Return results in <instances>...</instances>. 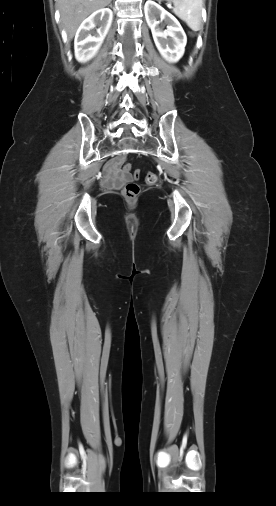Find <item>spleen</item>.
<instances>
[{"instance_id": "1", "label": "spleen", "mask_w": 276, "mask_h": 506, "mask_svg": "<svg viewBox=\"0 0 276 506\" xmlns=\"http://www.w3.org/2000/svg\"><path fill=\"white\" fill-rule=\"evenodd\" d=\"M175 14L193 31L201 28L202 0H172Z\"/></svg>"}]
</instances>
